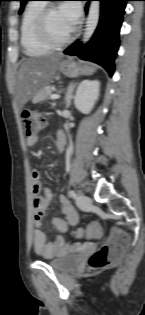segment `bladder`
<instances>
[{"label": "bladder", "instance_id": "bladder-1", "mask_svg": "<svg viewBox=\"0 0 145 315\" xmlns=\"http://www.w3.org/2000/svg\"><path fill=\"white\" fill-rule=\"evenodd\" d=\"M45 261L56 271L65 272L76 267L79 263V258L71 253L58 258L46 259Z\"/></svg>", "mask_w": 145, "mask_h": 315}]
</instances>
